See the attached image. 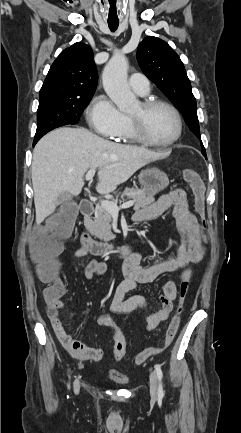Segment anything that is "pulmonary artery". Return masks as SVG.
<instances>
[{
  "label": "pulmonary artery",
  "mask_w": 241,
  "mask_h": 433,
  "mask_svg": "<svg viewBox=\"0 0 241 433\" xmlns=\"http://www.w3.org/2000/svg\"><path fill=\"white\" fill-rule=\"evenodd\" d=\"M130 87L140 96H145L150 92V84L148 79L140 74L134 73L129 78Z\"/></svg>",
  "instance_id": "e3ab8cb5"
}]
</instances>
